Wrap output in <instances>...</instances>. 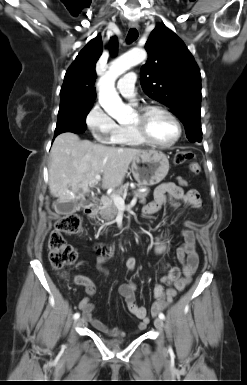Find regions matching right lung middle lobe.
<instances>
[{
	"instance_id": "obj_1",
	"label": "right lung middle lobe",
	"mask_w": 247,
	"mask_h": 385,
	"mask_svg": "<svg viewBox=\"0 0 247 385\" xmlns=\"http://www.w3.org/2000/svg\"><path fill=\"white\" fill-rule=\"evenodd\" d=\"M93 102L76 99L60 100L55 136L63 132L83 133L87 128L86 116L90 112Z\"/></svg>"
}]
</instances>
